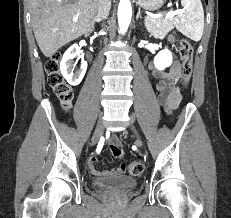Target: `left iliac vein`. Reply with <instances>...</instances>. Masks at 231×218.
<instances>
[{
    "label": "left iliac vein",
    "instance_id": "4c4485c4",
    "mask_svg": "<svg viewBox=\"0 0 231 218\" xmlns=\"http://www.w3.org/2000/svg\"><path fill=\"white\" fill-rule=\"evenodd\" d=\"M133 120L131 121V129H132V131L135 133V135H136V137H137V140H136V145L138 146V147H142V141H141V139H140V137H139V135H138V133H137V131H136V129L134 128V126H133Z\"/></svg>",
    "mask_w": 231,
    "mask_h": 218
}]
</instances>
